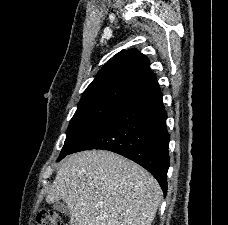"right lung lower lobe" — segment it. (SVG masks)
I'll return each instance as SVG.
<instances>
[{
    "instance_id": "1",
    "label": "right lung lower lobe",
    "mask_w": 228,
    "mask_h": 225,
    "mask_svg": "<svg viewBox=\"0 0 228 225\" xmlns=\"http://www.w3.org/2000/svg\"><path fill=\"white\" fill-rule=\"evenodd\" d=\"M166 118L162 93L154 81L89 131L69 154L90 149L118 153L147 169L166 196L170 164Z\"/></svg>"
}]
</instances>
